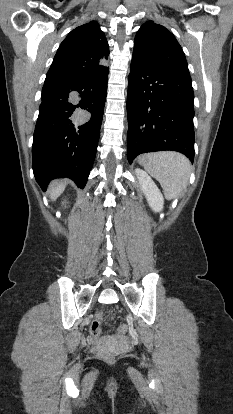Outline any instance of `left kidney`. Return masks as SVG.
Instances as JSON below:
<instances>
[{
    "label": "left kidney",
    "instance_id": "5707ae66",
    "mask_svg": "<svg viewBox=\"0 0 233 414\" xmlns=\"http://www.w3.org/2000/svg\"><path fill=\"white\" fill-rule=\"evenodd\" d=\"M135 173L151 209L155 212L162 210L164 198L157 185L145 171L136 169Z\"/></svg>",
    "mask_w": 233,
    "mask_h": 414
}]
</instances>
